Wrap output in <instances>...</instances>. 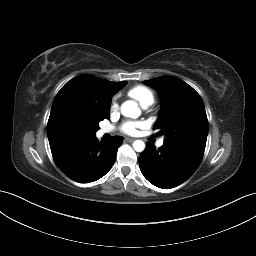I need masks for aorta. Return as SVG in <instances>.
<instances>
[{"mask_svg":"<svg viewBox=\"0 0 256 256\" xmlns=\"http://www.w3.org/2000/svg\"><path fill=\"white\" fill-rule=\"evenodd\" d=\"M121 114L125 117L138 118L141 114V110L137 102L127 100L121 105ZM133 148L136 152H142L145 149V143L142 140H135L133 142Z\"/></svg>","mask_w":256,"mask_h":256,"instance_id":"762f6f07","label":"aorta"}]
</instances>
